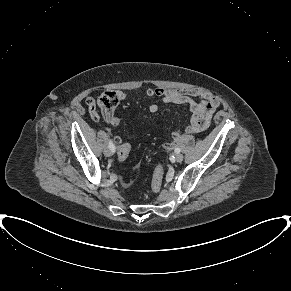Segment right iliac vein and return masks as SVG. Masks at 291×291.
Here are the masks:
<instances>
[{"label":"right iliac vein","instance_id":"obj_1","mask_svg":"<svg viewBox=\"0 0 291 291\" xmlns=\"http://www.w3.org/2000/svg\"><path fill=\"white\" fill-rule=\"evenodd\" d=\"M104 154L105 156L109 157V156H112L113 151L110 148H105Z\"/></svg>","mask_w":291,"mask_h":291}]
</instances>
